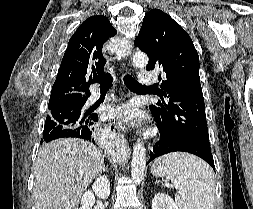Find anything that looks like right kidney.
I'll return each mask as SVG.
<instances>
[{
    "mask_svg": "<svg viewBox=\"0 0 253 209\" xmlns=\"http://www.w3.org/2000/svg\"><path fill=\"white\" fill-rule=\"evenodd\" d=\"M101 199H107L110 195V182L106 176H99L92 185V191H86L81 197L82 206L80 209H92L95 204V196Z\"/></svg>",
    "mask_w": 253,
    "mask_h": 209,
    "instance_id": "obj_1",
    "label": "right kidney"
}]
</instances>
